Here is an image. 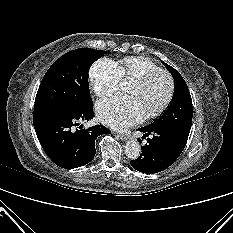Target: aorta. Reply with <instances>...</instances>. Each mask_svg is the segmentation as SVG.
<instances>
[{"mask_svg":"<svg viewBox=\"0 0 233 233\" xmlns=\"http://www.w3.org/2000/svg\"><path fill=\"white\" fill-rule=\"evenodd\" d=\"M124 152L129 159L135 160L141 154V146L137 140H129L125 144Z\"/></svg>","mask_w":233,"mask_h":233,"instance_id":"aorta-1","label":"aorta"}]
</instances>
